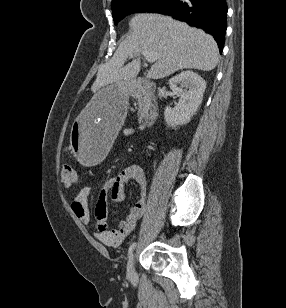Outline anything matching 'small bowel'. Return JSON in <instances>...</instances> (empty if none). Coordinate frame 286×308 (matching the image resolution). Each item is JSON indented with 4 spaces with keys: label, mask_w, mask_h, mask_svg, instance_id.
<instances>
[{
    "label": "small bowel",
    "mask_w": 286,
    "mask_h": 308,
    "mask_svg": "<svg viewBox=\"0 0 286 308\" xmlns=\"http://www.w3.org/2000/svg\"><path fill=\"white\" fill-rule=\"evenodd\" d=\"M143 129V126L138 128ZM136 132L134 128H128L123 131L125 138L131 137ZM135 182L139 187L140 197L134 207L131 209L127 218L122 221L119 228L110 230L106 227L105 221L108 216V198L118 203L125 198V188L129 182ZM90 189L82 187L71 202V208L79 220L85 224H91V212L88 206V196ZM146 178L141 166L131 164L127 166L116 176L112 177L102 186L95 207L97 218L96 237L103 244L110 247H119L124 239L130 235L136 228L137 222L143 217L146 209Z\"/></svg>",
    "instance_id": "1"
}]
</instances>
